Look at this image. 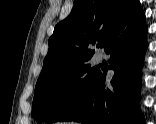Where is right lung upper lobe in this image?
I'll return each mask as SVG.
<instances>
[{
	"label": "right lung upper lobe",
	"mask_w": 156,
	"mask_h": 124,
	"mask_svg": "<svg viewBox=\"0 0 156 124\" xmlns=\"http://www.w3.org/2000/svg\"><path fill=\"white\" fill-rule=\"evenodd\" d=\"M145 26L139 0H77L70 15L55 26L38 79L87 62L94 54L90 47L100 38L106 51L126 32Z\"/></svg>",
	"instance_id": "cb5924a9"
}]
</instances>
